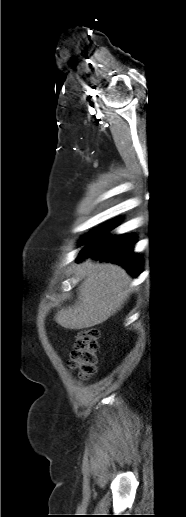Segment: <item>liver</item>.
I'll return each mask as SVG.
<instances>
[{
  "mask_svg": "<svg viewBox=\"0 0 186 517\" xmlns=\"http://www.w3.org/2000/svg\"><path fill=\"white\" fill-rule=\"evenodd\" d=\"M77 276L83 279L77 301L55 315V321L66 329L103 323L123 307L131 293L132 278L115 264L87 259L77 267Z\"/></svg>",
  "mask_w": 186,
  "mask_h": 517,
  "instance_id": "6515ba94",
  "label": "liver"
}]
</instances>
